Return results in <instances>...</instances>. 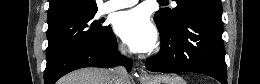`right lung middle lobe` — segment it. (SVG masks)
Returning a JSON list of instances; mask_svg holds the SVG:
<instances>
[{"label":"right lung middle lobe","instance_id":"obj_1","mask_svg":"<svg viewBox=\"0 0 260 84\" xmlns=\"http://www.w3.org/2000/svg\"><path fill=\"white\" fill-rule=\"evenodd\" d=\"M96 12L71 19L47 30L49 41L46 67L55 63L64 53L82 45L106 46L112 37L110 25L104 26V21L97 20Z\"/></svg>","mask_w":260,"mask_h":84}]
</instances>
